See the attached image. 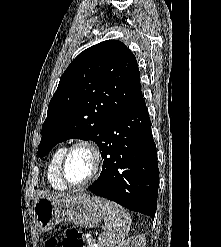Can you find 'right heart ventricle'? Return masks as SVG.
I'll list each match as a JSON object with an SVG mask.
<instances>
[{"label": "right heart ventricle", "instance_id": "1", "mask_svg": "<svg viewBox=\"0 0 221 247\" xmlns=\"http://www.w3.org/2000/svg\"><path fill=\"white\" fill-rule=\"evenodd\" d=\"M67 149L66 145H61L52 153L47 170V178L49 184L56 190H65L67 185L62 181L59 169L62 157Z\"/></svg>", "mask_w": 221, "mask_h": 247}]
</instances>
